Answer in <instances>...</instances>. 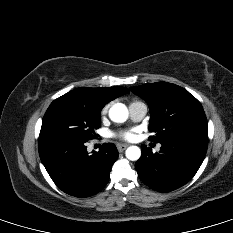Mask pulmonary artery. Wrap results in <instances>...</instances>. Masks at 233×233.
<instances>
[{
	"instance_id": "1",
	"label": "pulmonary artery",
	"mask_w": 233,
	"mask_h": 233,
	"mask_svg": "<svg viewBox=\"0 0 233 233\" xmlns=\"http://www.w3.org/2000/svg\"><path fill=\"white\" fill-rule=\"evenodd\" d=\"M131 119L135 122L141 121L147 113V106L140 101L132 102L129 105Z\"/></svg>"
}]
</instances>
